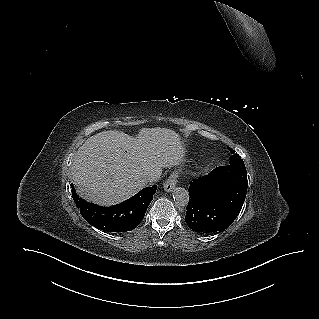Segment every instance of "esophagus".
Here are the masks:
<instances>
[{"instance_id": "1", "label": "esophagus", "mask_w": 319, "mask_h": 319, "mask_svg": "<svg viewBox=\"0 0 319 319\" xmlns=\"http://www.w3.org/2000/svg\"><path fill=\"white\" fill-rule=\"evenodd\" d=\"M177 178H178V173L176 171H173L164 183V190L166 192H171L174 189L177 183Z\"/></svg>"}]
</instances>
